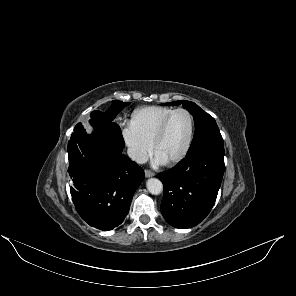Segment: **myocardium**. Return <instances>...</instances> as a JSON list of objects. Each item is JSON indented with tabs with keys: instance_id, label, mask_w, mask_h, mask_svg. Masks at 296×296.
<instances>
[{
	"instance_id": "f54148a6",
	"label": "myocardium",
	"mask_w": 296,
	"mask_h": 296,
	"mask_svg": "<svg viewBox=\"0 0 296 296\" xmlns=\"http://www.w3.org/2000/svg\"><path fill=\"white\" fill-rule=\"evenodd\" d=\"M180 112H183V113L187 114L189 119H190L189 137H188L187 143H186L184 149L181 151V153L178 154L173 159H171L170 161L164 162L166 165H174V164H177L178 162L182 161L186 157V155L188 154V152H189V150H190V148L192 146V143H193L194 134H195V119H194V116L189 110H187L185 108H178V109L173 110L160 124V126H159V128H158V130H157V132L155 134V137H154V139L152 141V144H151L152 152L155 154L156 148H157L159 142L162 140V138H163V136H164V134L166 132L168 124L170 123L171 119L177 113H180Z\"/></svg>"
}]
</instances>
